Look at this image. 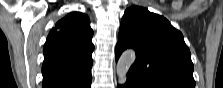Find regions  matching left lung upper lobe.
Returning <instances> with one entry per match:
<instances>
[{
    "mask_svg": "<svg viewBox=\"0 0 223 88\" xmlns=\"http://www.w3.org/2000/svg\"><path fill=\"white\" fill-rule=\"evenodd\" d=\"M136 48L129 74L145 88H194L193 63L183 35L163 16L132 6L121 20L116 59Z\"/></svg>",
    "mask_w": 223,
    "mask_h": 88,
    "instance_id": "left-lung-upper-lobe-1",
    "label": "left lung upper lobe"
}]
</instances>
